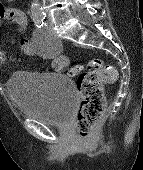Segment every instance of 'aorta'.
I'll return each instance as SVG.
<instances>
[{
  "mask_svg": "<svg viewBox=\"0 0 143 170\" xmlns=\"http://www.w3.org/2000/svg\"><path fill=\"white\" fill-rule=\"evenodd\" d=\"M31 14L33 17H43V11L38 0H33L31 4Z\"/></svg>",
  "mask_w": 143,
  "mask_h": 170,
  "instance_id": "1",
  "label": "aorta"
}]
</instances>
